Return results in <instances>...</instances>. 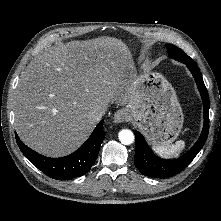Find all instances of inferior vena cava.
I'll return each mask as SVG.
<instances>
[{
  "instance_id": "obj_1",
  "label": "inferior vena cava",
  "mask_w": 221,
  "mask_h": 221,
  "mask_svg": "<svg viewBox=\"0 0 221 221\" xmlns=\"http://www.w3.org/2000/svg\"><path fill=\"white\" fill-rule=\"evenodd\" d=\"M106 109L102 108V109H95L91 112L90 116L96 120L99 121L101 120L102 116L105 114Z\"/></svg>"
}]
</instances>
